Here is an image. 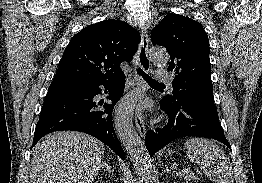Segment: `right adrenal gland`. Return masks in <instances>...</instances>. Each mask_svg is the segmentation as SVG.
Wrapping results in <instances>:
<instances>
[{"label": "right adrenal gland", "mask_w": 262, "mask_h": 183, "mask_svg": "<svg viewBox=\"0 0 262 183\" xmlns=\"http://www.w3.org/2000/svg\"><path fill=\"white\" fill-rule=\"evenodd\" d=\"M101 166H105L107 169H109L110 171H112V170H111V167L109 166V164L106 163L105 161L102 162ZM112 172H113V171H112Z\"/></svg>", "instance_id": "right-adrenal-gland-1"}]
</instances>
